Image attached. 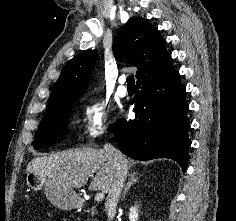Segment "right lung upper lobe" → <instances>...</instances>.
I'll return each mask as SVG.
<instances>
[{
  "mask_svg": "<svg viewBox=\"0 0 236 221\" xmlns=\"http://www.w3.org/2000/svg\"><path fill=\"white\" fill-rule=\"evenodd\" d=\"M165 44L166 41L151 24L140 17H132L118 32L113 52L118 60L125 58L129 64L138 68V81L156 71L170 58ZM96 61L97 52L91 50L65 64L50 94L46 112L84 94Z\"/></svg>",
  "mask_w": 236,
  "mask_h": 221,
  "instance_id": "obj_1",
  "label": "right lung upper lobe"
}]
</instances>
